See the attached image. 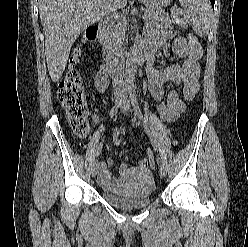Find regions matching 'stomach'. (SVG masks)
Segmentation results:
<instances>
[{"label": "stomach", "mask_w": 248, "mask_h": 247, "mask_svg": "<svg viewBox=\"0 0 248 247\" xmlns=\"http://www.w3.org/2000/svg\"><path fill=\"white\" fill-rule=\"evenodd\" d=\"M148 9H160L168 5L170 0H140Z\"/></svg>", "instance_id": "1"}]
</instances>
